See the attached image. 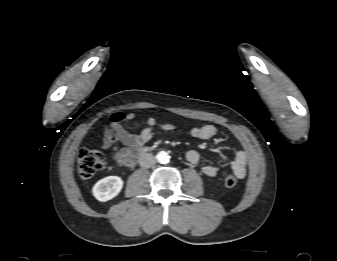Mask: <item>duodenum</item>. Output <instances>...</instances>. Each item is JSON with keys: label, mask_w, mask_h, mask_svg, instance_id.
<instances>
[{"label": "duodenum", "mask_w": 337, "mask_h": 261, "mask_svg": "<svg viewBox=\"0 0 337 261\" xmlns=\"http://www.w3.org/2000/svg\"><path fill=\"white\" fill-rule=\"evenodd\" d=\"M147 150V148H144L141 150V153L145 152Z\"/></svg>", "instance_id": "1"}]
</instances>
